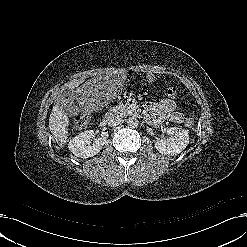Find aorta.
<instances>
[{
  "mask_svg": "<svg viewBox=\"0 0 247 247\" xmlns=\"http://www.w3.org/2000/svg\"><path fill=\"white\" fill-rule=\"evenodd\" d=\"M127 125L130 127V128H137L138 125H139V121L136 117H130L128 120H127Z\"/></svg>",
  "mask_w": 247,
  "mask_h": 247,
  "instance_id": "1",
  "label": "aorta"
}]
</instances>
